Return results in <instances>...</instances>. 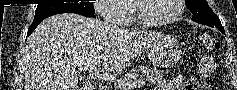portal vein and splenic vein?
<instances>
[{
    "instance_id": "18ae733b",
    "label": "portal vein and splenic vein",
    "mask_w": 237,
    "mask_h": 90,
    "mask_svg": "<svg viewBox=\"0 0 237 90\" xmlns=\"http://www.w3.org/2000/svg\"><path fill=\"white\" fill-rule=\"evenodd\" d=\"M85 66H78V70H80V72H86V70H84ZM97 76V78H96ZM90 78H96V80H98V78H101V80H115L114 76H109V74H90ZM115 86L116 88H118V90H131V88H133V84H131V88L128 84V82H126V78L125 80H122V78H120V80H117V82H115Z\"/></svg>"
}]
</instances>
